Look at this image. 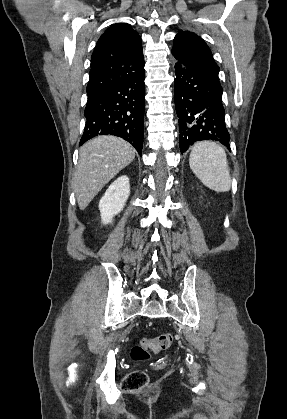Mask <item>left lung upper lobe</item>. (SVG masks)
<instances>
[{"label": "left lung upper lobe", "instance_id": "1", "mask_svg": "<svg viewBox=\"0 0 287 419\" xmlns=\"http://www.w3.org/2000/svg\"><path fill=\"white\" fill-rule=\"evenodd\" d=\"M172 54L176 64L187 68H219L206 43L192 32H180L175 36Z\"/></svg>", "mask_w": 287, "mask_h": 419}]
</instances>
